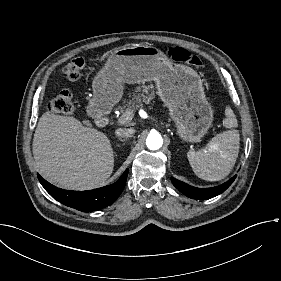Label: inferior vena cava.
<instances>
[{
	"instance_id": "602c4592",
	"label": "inferior vena cava",
	"mask_w": 281,
	"mask_h": 281,
	"mask_svg": "<svg viewBox=\"0 0 281 281\" xmlns=\"http://www.w3.org/2000/svg\"><path fill=\"white\" fill-rule=\"evenodd\" d=\"M133 133V129H121L117 131V136H119L120 138H128L132 137Z\"/></svg>"
}]
</instances>
